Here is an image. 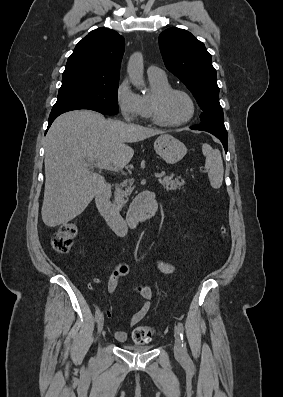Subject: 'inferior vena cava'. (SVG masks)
<instances>
[{"label": "inferior vena cava", "instance_id": "inferior-vena-cava-1", "mask_svg": "<svg viewBox=\"0 0 283 397\" xmlns=\"http://www.w3.org/2000/svg\"><path fill=\"white\" fill-rule=\"evenodd\" d=\"M126 120H127V121H130V119H129V118H126Z\"/></svg>", "mask_w": 283, "mask_h": 397}]
</instances>
